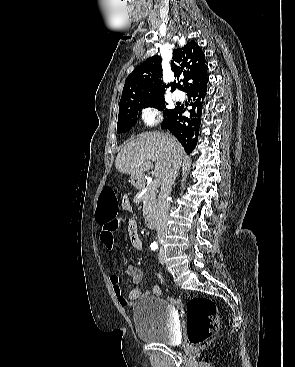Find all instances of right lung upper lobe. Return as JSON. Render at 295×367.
I'll list each match as a JSON object with an SVG mask.
<instances>
[{
  "mask_svg": "<svg viewBox=\"0 0 295 367\" xmlns=\"http://www.w3.org/2000/svg\"><path fill=\"white\" fill-rule=\"evenodd\" d=\"M172 59L171 66L174 76L183 82V86L177 85L175 81L170 83L172 90L180 88L187 93L208 81L204 52L194 41H190L182 48L175 49ZM161 61V57L156 55L148 58L133 70L126 78L119 109L128 102L146 101L164 96L165 85L161 80Z\"/></svg>",
  "mask_w": 295,
  "mask_h": 367,
  "instance_id": "cb5924a9",
  "label": "right lung upper lobe"
}]
</instances>
